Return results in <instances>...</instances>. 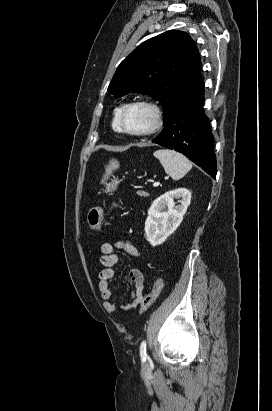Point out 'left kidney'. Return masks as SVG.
I'll use <instances>...</instances> for the list:
<instances>
[{
  "label": "left kidney",
  "mask_w": 272,
  "mask_h": 411,
  "mask_svg": "<svg viewBox=\"0 0 272 411\" xmlns=\"http://www.w3.org/2000/svg\"><path fill=\"white\" fill-rule=\"evenodd\" d=\"M174 199H181L180 204L175 205ZM190 202L191 192L186 188L166 192L154 200L145 222L146 239L152 246L162 244L176 231Z\"/></svg>",
  "instance_id": "1"
}]
</instances>
